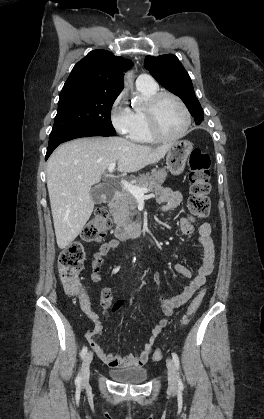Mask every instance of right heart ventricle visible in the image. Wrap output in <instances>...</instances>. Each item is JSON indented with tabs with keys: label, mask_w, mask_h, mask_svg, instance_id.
I'll use <instances>...</instances> for the list:
<instances>
[{
	"label": "right heart ventricle",
	"mask_w": 264,
	"mask_h": 419,
	"mask_svg": "<svg viewBox=\"0 0 264 419\" xmlns=\"http://www.w3.org/2000/svg\"><path fill=\"white\" fill-rule=\"evenodd\" d=\"M138 92L143 99L141 106L132 107V127L129 133L131 140L139 143H153L155 139L152 137L146 116V103L148 99L158 91L157 85L152 87L137 86Z\"/></svg>",
	"instance_id": "e07e8e85"
}]
</instances>
